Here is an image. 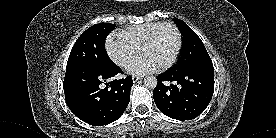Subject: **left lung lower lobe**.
<instances>
[{
  "mask_svg": "<svg viewBox=\"0 0 276 138\" xmlns=\"http://www.w3.org/2000/svg\"><path fill=\"white\" fill-rule=\"evenodd\" d=\"M153 97L158 109L176 120H192L211 101L214 91L213 64L187 70H168L157 77Z\"/></svg>",
  "mask_w": 276,
  "mask_h": 138,
  "instance_id": "1",
  "label": "left lung lower lobe"
}]
</instances>
